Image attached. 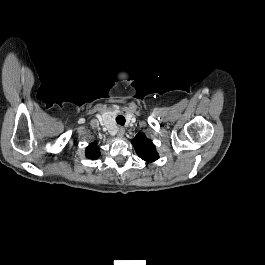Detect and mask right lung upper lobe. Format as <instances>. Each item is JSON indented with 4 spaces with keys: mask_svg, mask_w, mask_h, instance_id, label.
<instances>
[{
    "mask_svg": "<svg viewBox=\"0 0 265 265\" xmlns=\"http://www.w3.org/2000/svg\"><path fill=\"white\" fill-rule=\"evenodd\" d=\"M86 157L89 159H96L100 155L99 148L97 147L96 143H91L87 148H86Z\"/></svg>",
    "mask_w": 265,
    "mask_h": 265,
    "instance_id": "right-lung-upper-lobe-1",
    "label": "right lung upper lobe"
}]
</instances>
